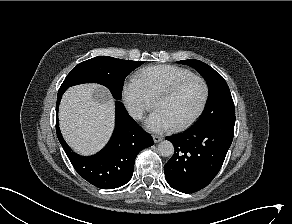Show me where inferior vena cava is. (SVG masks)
<instances>
[{"label":"inferior vena cava","mask_w":292,"mask_h":224,"mask_svg":"<svg viewBox=\"0 0 292 224\" xmlns=\"http://www.w3.org/2000/svg\"><path fill=\"white\" fill-rule=\"evenodd\" d=\"M130 114L135 119H142L143 110L141 108H132Z\"/></svg>","instance_id":"inferior-vena-cava-1"}]
</instances>
